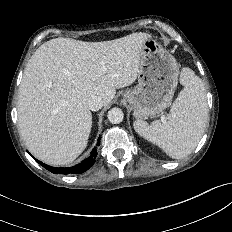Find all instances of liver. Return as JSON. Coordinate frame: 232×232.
I'll return each instance as SVG.
<instances>
[{
	"label": "liver",
	"mask_w": 232,
	"mask_h": 232,
	"mask_svg": "<svg viewBox=\"0 0 232 232\" xmlns=\"http://www.w3.org/2000/svg\"><path fill=\"white\" fill-rule=\"evenodd\" d=\"M147 33L103 42L55 38L30 58L21 81L18 125L29 151L50 165H67L86 148L92 127L88 100L107 106L116 89L135 82Z\"/></svg>",
	"instance_id": "6515ba94"
}]
</instances>
